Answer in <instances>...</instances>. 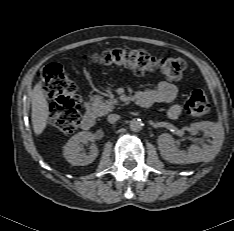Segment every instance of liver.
Returning a JSON list of instances; mask_svg holds the SVG:
<instances>
[{
	"label": "liver",
	"instance_id": "1",
	"mask_svg": "<svg viewBox=\"0 0 234 231\" xmlns=\"http://www.w3.org/2000/svg\"><path fill=\"white\" fill-rule=\"evenodd\" d=\"M49 108L42 85L37 83L32 94V125L36 135H40L47 126Z\"/></svg>",
	"mask_w": 234,
	"mask_h": 231
}]
</instances>
